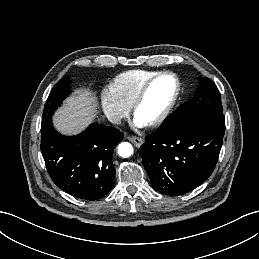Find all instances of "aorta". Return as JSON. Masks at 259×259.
<instances>
[{"label": "aorta", "instance_id": "aorta-1", "mask_svg": "<svg viewBox=\"0 0 259 259\" xmlns=\"http://www.w3.org/2000/svg\"><path fill=\"white\" fill-rule=\"evenodd\" d=\"M118 154L123 158H128L133 154V146L128 142H122L118 146Z\"/></svg>", "mask_w": 259, "mask_h": 259}]
</instances>
